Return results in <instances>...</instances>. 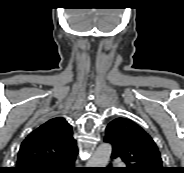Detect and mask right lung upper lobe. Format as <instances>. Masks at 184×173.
I'll return each mask as SVG.
<instances>
[{
	"mask_svg": "<svg viewBox=\"0 0 184 173\" xmlns=\"http://www.w3.org/2000/svg\"><path fill=\"white\" fill-rule=\"evenodd\" d=\"M71 125L62 117L42 124L23 141L14 167L16 173L47 168L77 154Z\"/></svg>",
	"mask_w": 184,
	"mask_h": 173,
	"instance_id": "obj_1",
	"label": "right lung upper lobe"
}]
</instances>
